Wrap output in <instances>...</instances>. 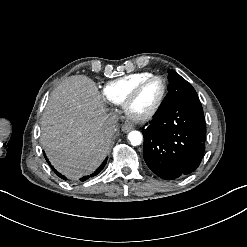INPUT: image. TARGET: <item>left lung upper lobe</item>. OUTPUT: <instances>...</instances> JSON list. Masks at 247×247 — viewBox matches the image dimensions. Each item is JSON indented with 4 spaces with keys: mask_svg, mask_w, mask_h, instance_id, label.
Returning <instances> with one entry per match:
<instances>
[{
    "mask_svg": "<svg viewBox=\"0 0 247 247\" xmlns=\"http://www.w3.org/2000/svg\"><path fill=\"white\" fill-rule=\"evenodd\" d=\"M169 92L158 110L166 106L184 100H199L198 95L192 85L184 78L177 74L174 70H169Z\"/></svg>",
    "mask_w": 247,
    "mask_h": 247,
    "instance_id": "1",
    "label": "left lung upper lobe"
}]
</instances>
